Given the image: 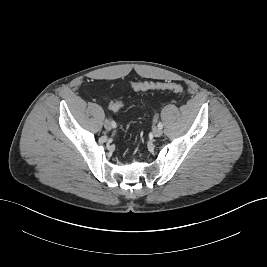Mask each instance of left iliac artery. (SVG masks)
Wrapping results in <instances>:
<instances>
[{
  "instance_id": "obj_1",
  "label": "left iliac artery",
  "mask_w": 267,
  "mask_h": 267,
  "mask_svg": "<svg viewBox=\"0 0 267 267\" xmlns=\"http://www.w3.org/2000/svg\"><path fill=\"white\" fill-rule=\"evenodd\" d=\"M158 127L162 128L163 124L161 122L158 123Z\"/></svg>"
}]
</instances>
